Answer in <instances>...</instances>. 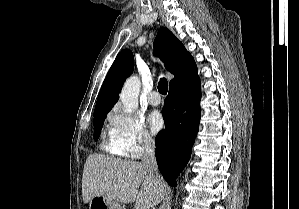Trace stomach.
<instances>
[{
    "label": "stomach",
    "instance_id": "0dacf381",
    "mask_svg": "<svg viewBox=\"0 0 299 209\" xmlns=\"http://www.w3.org/2000/svg\"><path fill=\"white\" fill-rule=\"evenodd\" d=\"M89 209H121V207L105 196L98 195L90 200Z\"/></svg>",
    "mask_w": 299,
    "mask_h": 209
}]
</instances>
